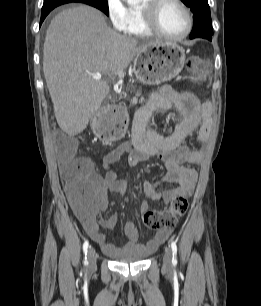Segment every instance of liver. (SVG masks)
Instances as JSON below:
<instances>
[{"label": "liver", "mask_w": 261, "mask_h": 306, "mask_svg": "<svg viewBox=\"0 0 261 306\" xmlns=\"http://www.w3.org/2000/svg\"><path fill=\"white\" fill-rule=\"evenodd\" d=\"M155 44L113 31L102 12L90 6L57 14L46 32L43 72L59 127L69 135L83 132L110 91L93 75L123 72Z\"/></svg>", "instance_id": "obj_1"}]
</instances>
